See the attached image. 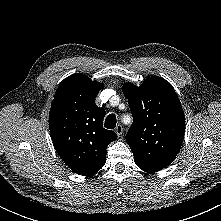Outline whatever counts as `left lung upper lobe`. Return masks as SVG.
<instances>
[{
	"instance_id": "1",
	"label": "left lung upper lobe",
	"mask_w": 221,
	"mask_h": 221,
	"mask_svg": "<svg viewBox=\"0 0 221 221\" xmlns=\"http://www.w3.org/2000/svg\"><path fill=\"white\" fill-rule=\"evenodd\" d=\"M133 123L126 135L136 165L142 170H161L180 151L184 133V113L172 85L158 76L141 86L123 85Z\"/></svg>"
}]
</instances>
